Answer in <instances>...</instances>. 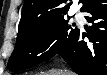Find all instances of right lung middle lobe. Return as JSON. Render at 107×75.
<instances>
[{
    "instance_id": "dd1d6c3e",
    "label": "right lung middle lobe",
    "mask_w": 107,
    "mask_h": 75,
    "mask_svg": "<svg viewBox=\"0 0 107 75\" xmlns=\"http://www.w3.org/2000/svg\"><path fill=\"white\" fill-rule=\"evenodd\" d=\"M68 20L60 18L37 27L19 26L9 70H25L55 56L79 31L77 27L72 28L75 24L70 25Z\"/></svg>"
}]
</instances>
